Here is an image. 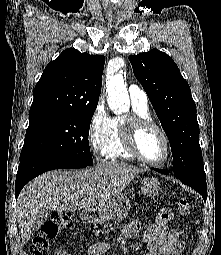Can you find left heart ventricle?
I'll return each mask as SVG.
<instances>
[{
    "label": "left heart ventricle",
    "instance_id": "left-heart-ventricle-1",
    "mask_svg": "<svg viewBox=\"0 0 221 255\" xmlns=\"http://www.w3.org/2000/svg\"><path fill=\"white\" fill-rule=\"evenodd\" d=\"M139 148L146 158L154 161L161 160L166 153L164 141L155 129H147L140 135Z\"/></svg>",
    "mask_w": 221,
    "mask_h": 255
}]
</instances>
